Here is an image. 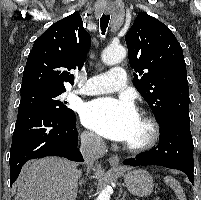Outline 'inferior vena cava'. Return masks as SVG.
Segmentation results:
<instances>
[{
    "mask_svg": "<svg viewBox=\"0 0 201 200\" xmlns=\"http://www.w3.org/2000/svg\"><path fill=\"white\" fill-rule=\"evenodd\" d=\"M81 152L87 165L91 166L94 160L103 156L106 146L103 139L92 133L81 135Z\"/></svg>",
    "mask_w": 201,
    "mask_h": 200,
    "instance_id": "inferior-vena-cava-1",
    "label": "inferior vena cava"
}]
</instances>
